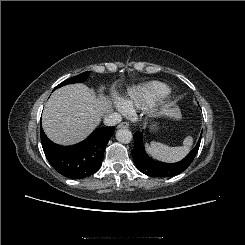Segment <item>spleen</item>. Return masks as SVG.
Wrapping results in <instances>:
<instances>
[{
  "label": "spleen",
  "instance_id": "spleen-1",
  "mask_svg": "<svg viewBox=\"0 0 245 245\" xmlns=\"http://www.w3.org/2000/svg\"><path fill=\"white\" fill-rule=\"evenodd\" d=\"M192 143V137L188 136L184 139L183 146L180 147H170L159 142L151 141L150 144L145 143V149L154 159L173 163L180 161L188 154Z\"/></svg>",
  "mask_w": 245,
  "mask_h": 245
}]
</instances>
